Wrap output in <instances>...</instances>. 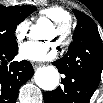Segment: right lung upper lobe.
<instances>
[{
  "mask_svg": "<svg viewBox=\"0 0 103 103\" xmlns=\"http://www.w3.org/2000/svg\"><path fill=\"white\" fill-rule=\"evenodd\" d=\"M26 6H12V7H8V9L10 11H23L25 9Z\"/></svg>",
  "mask_w": 103,
  "mask_h": 103,
  "instance_id": "1",
  "label": "right lung upper lobe"
}]
</instances>
